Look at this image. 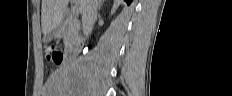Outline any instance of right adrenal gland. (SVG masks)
I'll return each instance as SVG.
<instances>
[{"label":"right adrenal gland","instance_id":"2a0ac1e0","mask_svg":"<svg viewBox=\"0 0 232 96\" xmlns=\"http://www.w3.org/2000/svg\"><path fill=\"white\" fill-rule=\"evenodd\" d=\"M104 1H105V0H99V1H98V10L101 9V7H102Z\"/></svg>","mask_w":232,"mask_h":96}]
</instances>
